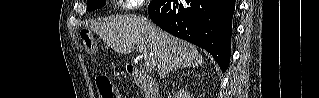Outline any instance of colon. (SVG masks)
<instances>
[{
  "mask_svg": "<svg viewBox=\"0 0 319 98\" xmlns=\"http://www.w3.org/2000/svg\"><path fill=\"white\" fill-rule=\"evenodd\" d=\"M81 39L86 51L90 54H95L97 47L92 32L88 29L82 30ZM96 85L101 98H117V93L107 76H98L96 78Z\"/></svg>",
  "mask_w": 319,
  "mask_h": 98,
  "instance_id": "colon-1",
  "label": "colon"
}]
</instances>
